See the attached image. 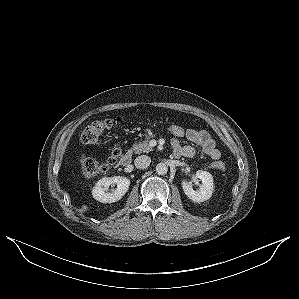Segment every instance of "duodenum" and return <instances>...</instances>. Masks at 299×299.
Returning a JSON list of instances; mask_svg holds the SVG:
<instances>
[{
	"instance_id": "duodenum-1",
	"label": "duodenum",
	"mask_w": 299,
	"mask_h": 299,
	"mask_svg": "<svg viewBox=\"0 0 299 299\" xmlns=\"http://www.w3.org/2000/svg\"><path fill=\"white\" fill-rule=\"evenodd\" d=\"M131 161H132L131 154L125 153L120 160V164H121V166H128L131 164Z\"/></svg>"
}]
</instances>
